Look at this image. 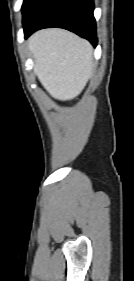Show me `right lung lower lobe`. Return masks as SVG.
<instances>
[{"label": "right lung lower lobe", "instance_id": "98d812e1", "mask_svg": "<svg viewBox=\"0 0 134 281\" xmlns=\"http://www.w3.org/2000/svg\"><path fill=\"white\" fill-rule=\"evenodd\" d=\"M93 0H37L23 21L25 38L42 28L70 30L97 44Z\"/></svg>", "mask_w": 134, "mask_h": 281}]
</instances>
